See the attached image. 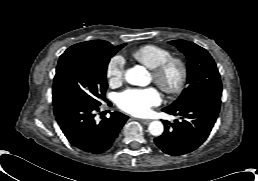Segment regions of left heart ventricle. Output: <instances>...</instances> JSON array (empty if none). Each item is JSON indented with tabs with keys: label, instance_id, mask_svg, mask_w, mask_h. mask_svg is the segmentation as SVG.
I'll return each mask as SVG.
<instances>
[{
	"label": "left heart ventricle",
	"instance_id": "b2bd125f",
	"mask_svg": "<svg viewBox=\"0 0 258 181\" xmlns=\"http://www.w3.org/2000/svg\"><path fill=\"white\" fill-rule=\"evenodd\" d=\"M174 76H175V72H172L171 75H170L171 79H173Z\"/></svg>",
	"mask_w": 258,
	"mask_h": 181
}]
</instances>
